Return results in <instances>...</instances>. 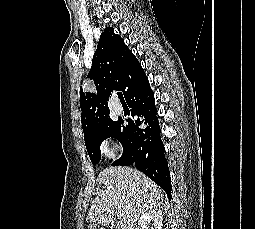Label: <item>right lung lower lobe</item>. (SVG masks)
I'll return each instance as SVG.
<instances>
[{
  "label": "right lung lower lobe",
  "mask_w": 255,
  "mask_h": 229,
  "mask_svg": "<svg viewBox=\"0 0 255 229\" xmlns=\"http://www.w3.org/2000/svg\"><path fill=\"white\" fill-rule=\"evenodd\" d=\"M132 118L129 119L127 133L131 141V153L118 165H135L138 170L157 183L171 200V178L165 149L160 137L154 94L142 67L131 76V82L125 94Z\"/></svg>",
  "instance_id": "obj_1"
}]
</instances>
